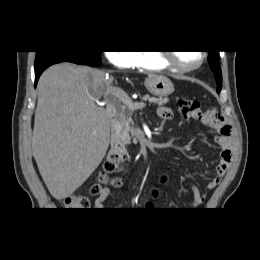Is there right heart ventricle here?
<instances>
[{"label": "right heart ventricle", "mask_w": 260, "mask_h": 260, "mask_svg": "<svg viewBox=\"0 0 260 260\" xmlns=\"http://www.w3.org/2000/svg\"><path fill=\"white\" fill-rule=\"evenodd\" d=\"M134 66L151 71H162L171 69V67L167 63H165L155 51H138L136 53Z\"/></svg>", "instance_id": "obj_1"}]
</instances>
